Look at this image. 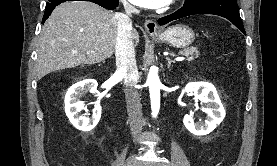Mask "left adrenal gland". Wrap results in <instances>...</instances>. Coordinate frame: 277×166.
<instances>
[{
  "label": "left adrenal gland",
  "instance_id": "left-adrenal-gland-1",
  "mask_svg": "<svg viewBox=\"0 0 277 166\" xmlns=\"http://www.w3.org/2000/svg\"><path fill=\"white\" fill-rule=\"evenodd\" d=\"M166 60H167V62H168L167 68L169 69L170 66H171V63H172L173 61H172L169 57H166Z\"/></svg>",
  "mask_w": 277,
  "mask_h": 166
}]
</instances>
